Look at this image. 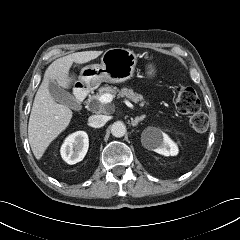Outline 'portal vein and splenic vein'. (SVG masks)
I'll return each instance as SVG.
<instances>
[{"instance_id": "portal-vein-and-splenic-vein-1", "label": "portal vein and splenic vein", "mask_w": 240, "mask_h": 240, "mask_svg": "<svg viewBox=\"0 0 240 240\" xmlns=\"http://www.w3.org/2000/svg\"><path fill=\"white\" fill-rule=\"evenodd\" d=\"M113 100V96L111 94H103L99 97L98 101L100 104H108L111 103V101ZM125 104L129 107L134 109L133 104H131L129 101H125Z\"/></svg>"}]
</instances>
